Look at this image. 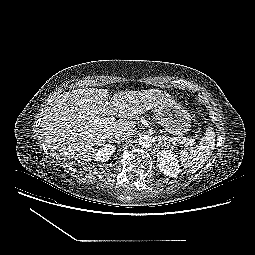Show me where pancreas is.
Returning <instances> with one entry per match:
<instances>
[{
	"label": "pancreas",
	"instance_id": "cf45deb5",
	"mask_svg": "<svg viewBox=\"0 0 255 255\" xmlns=\"http://www.w3.org/2000/svg\"><path fill=\"white\" fill-rule=\"evenodd\" d=\"M184 145L188 146V145H194L195 142L193 139L191 138H185V141H182Z\"/></svg>",
	"mask_w": 255,
	"mask_h": 255
}]
</instances>
